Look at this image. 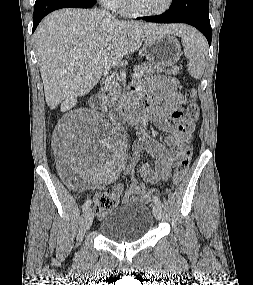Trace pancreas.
Wrapping results in <instances>:
<instances>
[{"mask_svg":"<svg viewBox=\"0 0 253 285\" xmlns=\"http://www.w3.org/2000/svg\"><path fill=\"white\" fill-rule=\"evenodd\" d=\"M135 72H138L141 77L143 76H152L155 73L165 72L166 74L176 75L179 73L178 67H172L170 69H165L162 66L153 65L151 63H143L140 66L134 68ZM120 96V86L117 81L109 80L106 82L102 97L106 103L112 105L115 103V100Z\"/></svg>","mask_w":253,"mask_h":285,"instance_id":"1","label":"pancreas"}]
</instances>
